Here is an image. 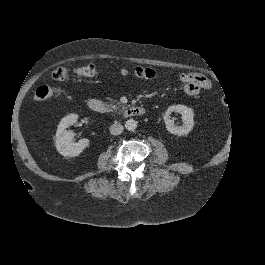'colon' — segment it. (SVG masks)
I'll return each mask as SVG.
<instances>
[{
  "label": "colon",
  "mask_w": 265,
  "mask_h": 265,
  "mask_svg": "<svg viewBox=\"0 0 265 265\" xmlns=\"http://www.w3.org/2000/svg\"><path fill=\"white\" fill-rule=\"evenodd\" d=\"M77 73L80 76L92 77L97 74V69L93 65H87L77 69ZM134 76L141 79H152L156 76V73L151 68L136 67L132 70ZM52 77L57 81H64L69 77V70L66 67H58L52 73ZM60 92L58 89L53 88L48 85H41L36 88L33 93V98L36 101H43L49 99L55 95H58Z\"/></svg>",
  "instance_id": "5ec220e1"
}]
</instances>
